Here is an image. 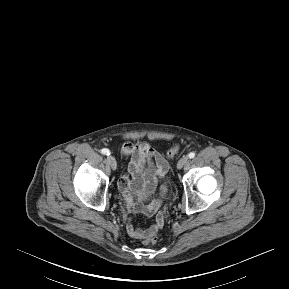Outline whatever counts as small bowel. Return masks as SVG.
Wrapping results in <instances>:
<instances>
[{
	"instance_id": "c3829d8e",
	"label": "small bowel",
	"mask_w": 289,
	"mask_h": 289,
	"mask_svg": "<svg viewBox=\"0 0 289 289\" xmlns=\"http://www.w3.org/2000/svg\"><path fill=\"white\" fill-rule=\"evenodd\" d=\"M121 154L129 157L125 172L118 181V189L122 194L125 205L130 214L143 213L152 216L158 207L164 206V199H155L148 205L143 201L155 191L158 178L164 177L169 169L165 156L159 153L148 142L124 143L121 146ZM164 186L160 193L167 197L171 193L169 182L166 179L161 181ZM166 209L161 207L158 210L155 223L148 228L136 227L130 215L127 219V233L130 237L144 240L153 233H156L164 225V213Z\"/></svg>"
}]
</instances>
